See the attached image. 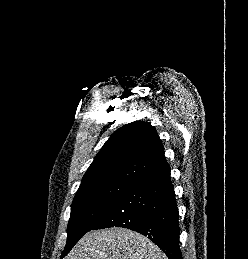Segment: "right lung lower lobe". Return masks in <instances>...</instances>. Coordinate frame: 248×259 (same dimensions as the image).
Listing matches in <instances>:
<instances>
[{"mask_svg": "<svg viewBox=\"0 0 248 259\" xmlns=\"http://www.w3.org/2000/svg\"><path fill=\"white\" fill-rule=\"evenodd\" d=\"M109 227H123L148 236L169 259H182L170 167L133 183L91 230Z\"/></svg>", "mask_w": 248, "mask_h": 259, "instance_id": "right-lung-lower-lobe-1", "label": "right lung lower lobe"}]
</instances>
